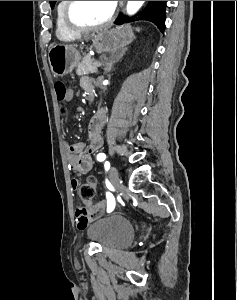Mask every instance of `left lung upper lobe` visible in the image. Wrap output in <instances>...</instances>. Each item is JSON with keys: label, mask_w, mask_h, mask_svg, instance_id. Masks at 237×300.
<instances>
[{"label": "left lung upper lobe", "mask_w": 237, "mask_h": 300, "mask_svg": "<svg viewBox=\"0 0 237 300\" xmlns=\"http://www.w3.org/2000/svg\"><path fill=\"white\" fill-rule=\"evenodd\" d=\"M56 1H50V5L53 8ZM165 1H149L147 7L137 16L123 17L122 14L116 20V24L120 25L124 22L135 21V20H148L153 22L161 32L165 29Z\"/></svg>", "instance_id": "5c2ea615"}]
</instances>
